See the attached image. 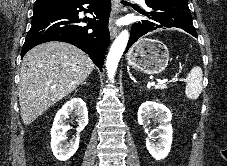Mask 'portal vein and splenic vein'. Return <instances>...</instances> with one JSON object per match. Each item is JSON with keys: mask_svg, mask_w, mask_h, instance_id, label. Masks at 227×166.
<instances>
[{"mask_svg": "<svg viewBox=\"0 0 227 166\" xmlns=\"http://www.w3.org/2000/svg\"><path fill=\"white\" fill-rule=\"evenodd\" d=\"M167 81H168V80L165 79V80L159 81L158 84H163V83H165V82H167ZM151 85H152V86L155 85V82H152Z\"/></svg>", "mask_w": 227, "mask_h": 166, "instance_id": "1", "label": "portal vein and splenic vein"}]
</instances>
